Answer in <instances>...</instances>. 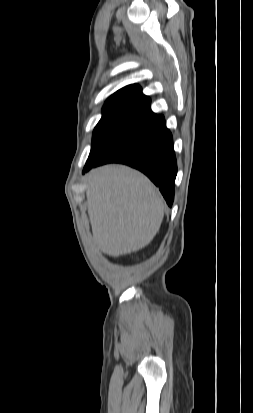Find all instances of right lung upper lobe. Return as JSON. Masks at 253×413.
<instances>
[{
  "mask_svg": "<svg viewBox=\"0 0 253 413\" xmlns=\"http://www.w3.org/2000/svg\"><path fill=\"white\" fill-rule=\"evenodd\" d=\"M150 102V99L142 94L139 85H128L118 90L107 99L103 107V113L130 111L149 117H159L164 119L162 115H157L151 111Z\"/></svg>",
  "mask_w": 253,
  "mask_h": 413,
  "instance_id": "1",
  "label": "right lung upper lobe"
}]
</instances>
